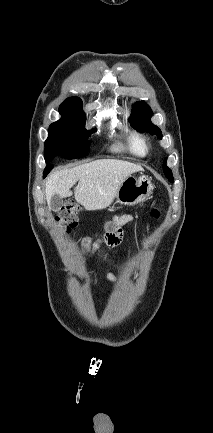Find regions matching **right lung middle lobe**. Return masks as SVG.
Returning a JSON list of instances; mask_svg holds the SVG:
<instances>
[{
  "instance_id": "obj_1",
  "label": "right lung middle lobe",
  "mask_w": 213,
  "mask_h": 433,
  "mask_svg": "<svg viewBox=\"0 0 213 433\" xmlns=\"http://www.w3.org/2000/svg\"><path fill=\"white\" fill-rule=\"evenodd\" d=\"M62 118L49 126L45 141V161L56 157L66 159L82 158L89 151V136L96 130L85 129L86 118L59 110Z\"/></svg>"
}]
</instances>
